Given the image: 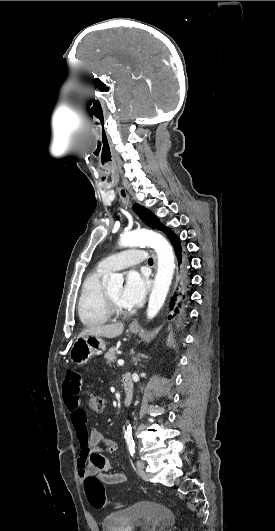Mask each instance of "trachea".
Masks as SVG:
<instances>
[{"mask_svg":"<svg viewBox=\"0 0 275 531\" xmlns=\"http://www.w3.org/2000/svg\"><path fill=\"white\" fill-rule=\"evenodd\" d=\"M149 263H153V259L152 258H149Z\"/></svg>","mask_w":275,"mask_h":531,"instance_id":"obj_1","label":"trachea"}]
</instances>
